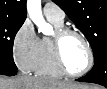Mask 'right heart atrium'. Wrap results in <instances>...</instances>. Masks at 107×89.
Wrapping results in <instances>:
<instances>
[{"label":"right heart atrium","instance_id":"1","mask_svg":"<svg viewBox=\"0 0 107 89\" xmlns=\"http://www.w3.org/2000/svg\"><path fill=\"white\" fill-rule=\"evenodd\" d=\"M40 38L30 21L26 20L16 32L12 53L16 65L24 72L33 71L39 52Z\"/></svg>","mask_w":107,"mask_h":89}]
</instances>
